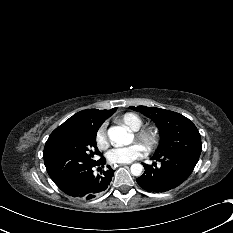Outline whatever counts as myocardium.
<instances>
[{
    "mask_svg": "<svg viewBox=\"0 0 233 233\" xmlns=\"http://www.w3.org/2000/svg\"><path fill=\"white\" fill-rule=\"evenodd\" d=\"M134 137L143 143L147 150H153L160 141V130L155 124L142 125L133 130Z\"/></svg>",
    "mask_w": 233,
    "mask_h": 233,
    "instance_id": "1",
    "label": "myocardium"
}]
</instances>
